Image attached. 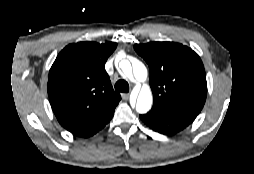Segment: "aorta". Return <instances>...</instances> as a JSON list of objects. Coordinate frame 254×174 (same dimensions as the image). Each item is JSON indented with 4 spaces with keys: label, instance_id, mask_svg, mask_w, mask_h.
Listing matches in <instances>:
<instances>
[{
    "label": "aorta",
    "instance_id": "1",
    "mask_svg": "<svg viewBox=\"0 0 254 174\" xmlns=\"http://www.w3.org/2000/svg\"><path fill=\"white\" fill-rule=\"evenodd\" d=\"M120 68L123 74L130 80L144 82L147 79V68L139 60H134L132 65L128 60H123L120 62ZM152 103L151 89L148 85H144L137 98L136 111L140 114H145L151 109Z\"/></svg>",
    "mask_w": 254,
    "mask_h": 174
}]
</instances>
